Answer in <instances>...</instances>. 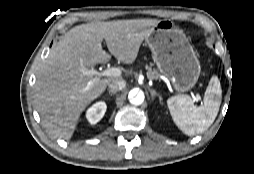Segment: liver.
<instances>
[{
    "label": "liver",
    "instance_id": "1",
    "mask_svg": "<svg viewBox=\"0 0 254 174\" xmlns=\"http://www.w3.org/2000/svg\"><path fill=\"white\" fill-rule=\"evenodd\" d=\"M159 22L158 19L90 22L75 26L62 36L43 61L35 84V105L51 134L70 139L85 108L109 83L121 79L99 78L86 90L94 77L83 71L108 62L111 55L132 64L142 42ZM103 40L111 55L103 49Z\"/></svg>",
    "mask_w": 254,
    "mask_h": 174
}]
</instances>
